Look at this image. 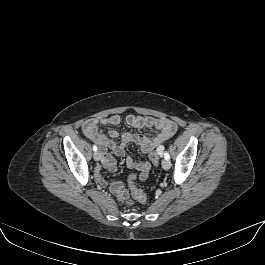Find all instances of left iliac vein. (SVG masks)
I'll list each match as a JSON object with an SVG mask.
<instances>
[{
    "mask_svg": "<svg viewBox=\"0 0 265 265\" xmlns=\"http://www.w3.org/2000/svg\"><path fill=\"white\" fill-rule=\"evenodd\" d=\"M162 167H163L165 170L170 169V167H171V163H170V161H169V160H166V159L162 160Z\"/></svg>",
    "mask_w": 265,
    "mask_h": 265,
    "instance_id": "left-iliac-vein-1",
    "label": "left iliac vein"
}]
</instances>
